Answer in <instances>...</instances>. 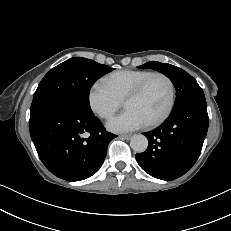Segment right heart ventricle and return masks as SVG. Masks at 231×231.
Returning a JSON list of instances; mask_svg holds the SVG:
<instances>
[{"label":"right heart ventricle","instance_id":"right-heart-ventricle-1","mask_svg":"<svg viewBox=\"0 0 231 231\" xmlns=\"http://www.w3.org/2000/svg\"><path fill=\"white\" fill-rule=\"evenodd\" d=\"M152 73L150 70H120L106 76L104 83L121 101H124L129 93Z\"/></svg>","mask_w":231,"mask_h":231}]
</instances>
